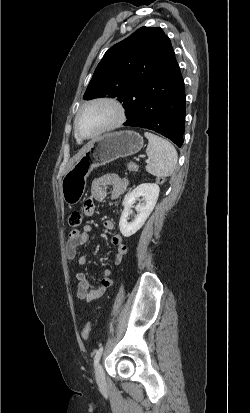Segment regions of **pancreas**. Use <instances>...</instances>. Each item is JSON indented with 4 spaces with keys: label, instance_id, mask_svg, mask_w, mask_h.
<instances>
[{
    "label": "pancreas",
    "instance_id": "cf45deb5",
    "mask_svg": "<svg viewBox=\"0 0 250 413\" xmlns=\"http://www.w3.org/2000/svg\"><path fill=\"white\" fill-rule=\"evenodd\" d=\"M129 169L132 170V171H137L138 167L137 166H134L132 168L129 167Z\"/></svg>",
    "mask_w": 250,
    "mask_h": 413
}]
</instances>
